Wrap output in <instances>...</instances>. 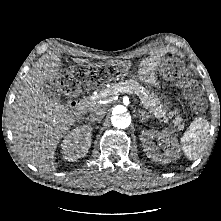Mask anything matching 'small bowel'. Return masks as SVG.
<instances>
[{
	"instance_id": "small-bowel-1",
	"label": "small bowel",
	"mask_w": 221,
	"mask_h": 221,
	"mask_svg": "<svg viewBox=\"0 0 221 221\" xmlns=\"http://www.w3.org/2000/svg\"><path fill=\"white\" fill-rule=\"evenodd\" d=\"M156 63L153 59L149 58L143 61V63L139 66L137 74L141 81L146 84L156 86L157 85V77H156Z\"/></svg>"
}]
</instances>
